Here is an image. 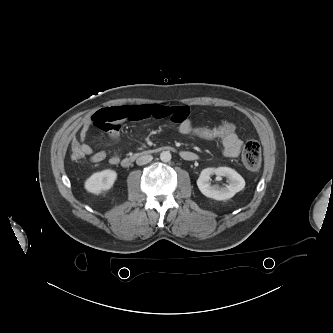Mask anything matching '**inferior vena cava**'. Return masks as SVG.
Returning a JSON list of instances; mask_svg holds the SVG:
<instances>
[{
  "label": "inferior vena cava",
  "instance_id": "inferior-vena-cava-1",
  "mask_svg": "<svg viewBox=\"0 0 333 333\" xmlns=\"http://www.w3.org/2000/svg\"><path fill=\"white\" fill-rule=\"evenodd\" d=\"M152 159H153V157L151 155H143V156H140L137 158L136 164L139 166L145 165V164L149 163Z\"/></svg>",
  "mask_w": 333,
  "mask_h": 333
}]
</instances>
